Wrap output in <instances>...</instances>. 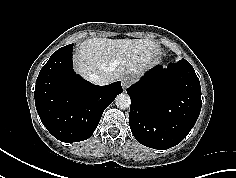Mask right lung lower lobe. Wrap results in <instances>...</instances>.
Instances as JSON below:
<instances>
[{
    "mask_svg": "<svg viewBox=\"0 0 236 178\" xmlns=\"http://www.w3.org/2000/svg\"><path fill=\"white\" fill-rule=\"evenodd\" d=\"M73 44L54 52L42 67L35 86V105L47 130L62 142L92 136L103 111L123 89L121 82L97 86L72 69Z\"/></svg>",
    "mask_w": 236,
    "mask_h": 178,
    "instance_id": "1",
    "label": "right lung lower lobe"
}]
</instances>
